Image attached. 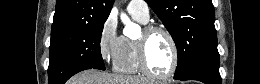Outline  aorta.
Segmentation results:
<instances>
[{"instance_id": "obj_1", "label": "aorta", "mask_w": 260, "mask_h": 84, "mask_svg": "<svg viewBox=\"0 0 260 84\" xmlns=\"http://www.w3.org/2000/svg\"><path fill=\"white\" fill-rule=\"evenodd\" d=\"M120 18H121V21L126 25V28H131V27L135 26L134 23H132L130 21V19L128 18V16L126 14L122 13ZM125 34L129 35V32L127 30H125Z\"/></svg>"}]
</instances>
